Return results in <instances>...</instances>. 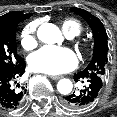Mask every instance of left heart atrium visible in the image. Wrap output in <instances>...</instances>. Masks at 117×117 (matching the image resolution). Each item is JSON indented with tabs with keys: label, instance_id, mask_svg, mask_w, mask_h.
<instances>
[{
	"label": "left heart atrium",
	"instance_id": "left-heart-atrium-1",
	"mask_svg": "<svg viewBox=\"0 0 117 117\" xmlns=\"http://www.w3.org/2000/svg\"><path fill=\"white\" fill-rule=\"evenodd\" d=\"M77 64V56L71 49L57 46H45L29 58L32 70L49 75L68 72Z\"/></svg>",
	"mask_w": 117,
	"mask_h": 117
}]
</instances>
